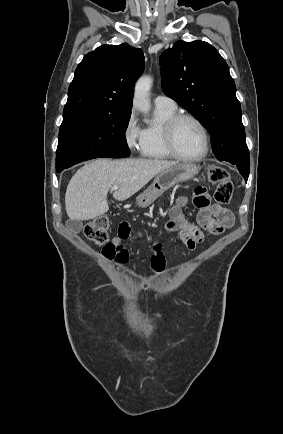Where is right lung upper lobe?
I'll return each mask as SVG.
<instances>
[{
    "label": "right lung upper lobe",
    "mask_w": 283,
    "mask_h": 434,
    "mask_svg": "<svg viewBox=\"0 0 283 434\" xmlns=\"http://www.w3.org/2000/svg\"><path fill=\"white\" fill-rule=\"evenodd\" d=\"M143 70L142 50L126 43L89 52L76 68L63 118L131 112L134 83Z\"/></svg>",
    "instance_id": "right-lung-upper-lobe-1"
}]
</instances>
